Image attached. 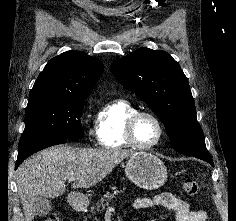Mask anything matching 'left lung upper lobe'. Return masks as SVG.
Here are the masks:
<instances>
[{"label": "left lung upper lobe", "instance_id": "obj_1", "mask_svg": "<svg viewBox=\"0 0 236 221\" xmlns=\"http://www.w3.org/2000/svg\"><path fill=\"white\" fill-rule=\"evenodd\" d=\"M110 69L161 118L176 151L194 156L209 153L188 79L170 54L141 47L113 62Z\"/></svg>", "mask_w": 236, "mask_h": 221}]
</instances>
